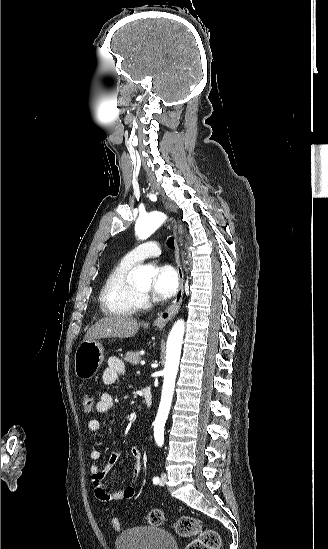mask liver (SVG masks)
<instances>
[{"mask_svg":"<svg viewBox=\"0 0 328 549\" xmlns=\"http://www.w3.org/2000/svg\"><path fill=\"white\" fill-rule=\"evenodd\" d=\"M140 329V323L130 315H108L99 319L95 325L88 329L83 341H95V339H128L135 337Z\"/></svg>","mask_w":328,"mask_h":549,"instance_id":"1","label":"liver"}]
</instances>
